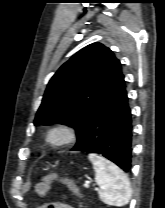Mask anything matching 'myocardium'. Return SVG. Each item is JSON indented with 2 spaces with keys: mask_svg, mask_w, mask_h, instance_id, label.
I'll return each mask as SVG.
<instances>
[{
  "mask_svg": "<svg viewBox=\"0 0 165 208\" xmlns=\"http://www.w3.org/2000/svg\"><path fill=\"white\" fill-rule=\"evenodd\" d=\"M78 139L77 130L67 123L51 125L44 134L45 145L51 149H60L75 143Z\"/></svg>",
  "mask_w": 165,
  "mask_h": 208,
  "instance_id": "1",
  "label": "myocardium"
}]
</instances>
